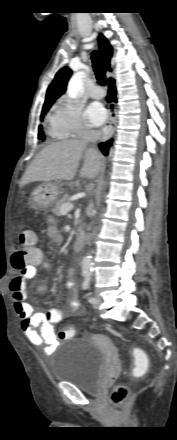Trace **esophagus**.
<instances>
[{
    "label": "esophagus",
    "mask_w": 177,
    "mask_h": 440,
    "mask_svg": "<svg viewBox=\"0 0 177 440\" xmlns=\"http://www.w3.org/2000/svg\"><path fill=\"white\" fill-rule=\"evenodd\" d=\"M117 116L114 103L108 107V120L102 129V140L106 141L113 135L116 128Z\"/></svg>",
    "instance_id": "esophagus-1"
}]
</instances>
